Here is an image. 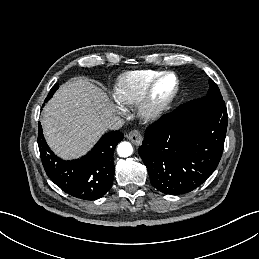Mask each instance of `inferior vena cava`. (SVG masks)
Returning <instances> with one entry per match:
<instances>
[{
  "label": "inferior vena cava",
  "instance_id": "1",
  "mask_svg": "<svg viewBox=\"0 0 259 259\" xmlns=\"http://www.w3.org/2000/svg\"><path fill=\"white\" fill-rule=\"evenodd\" d=\"M124 123L125 121L123 118L114 115L108 123V128L111 130H118L124 125Z\"/></svg>",
  "mask_w": 259,
  "mask_h": 259
}]
</instances>
